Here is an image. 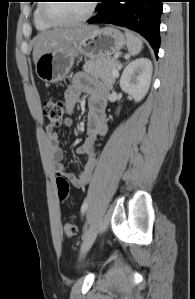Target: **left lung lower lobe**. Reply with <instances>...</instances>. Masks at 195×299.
Listing matches in <instances>:
<instances>
[{
	"label": "left lung lower lobe",
	"mask_w": 195,
	"mask_h": 299,
	"mask_svg": "<svg viewBox=\"0 0 195 299\" xmlns=\"http://www.w3.org/2000/svg\"><path fill=\"white\" fill-rule=\"evenodd\" d=\"M98 14L88 23H110L134 30L145 37L156 55L160 45L163 0H100Z\"/></svg>",
	"instance_id": "obj_1"
}]
</instances>
